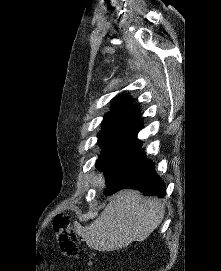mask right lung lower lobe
<instances>
[{
    "label": "right lung lower lobe",
    "instance_id": "98d812e1",
    "mask_svg": "<svg viewBox=\"0 0 221 271\" xmlns=\"http://www.w3.org/2000/svg\"><path fill=\"white\" fill-rule=\"evenodd\" d=\"M103 172L106 195L130 188L140 191L145 196H165V184L156 174L153 162L146 158L141 147L126 160Z\"/></svg>",
    "mask_w": 221,
    "mask_h": 271
}]
</instances>
